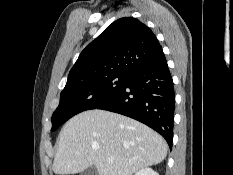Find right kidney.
Masks as SVG:
<instances>
[{"mask_svg":"<svg viewBox=\"0 0 233 175\" xmlns=\"http://www.w3.org/2000/svg\"><path fill=\"white\" fill-rule=\"evenodd\" d=\"M135 175H159L151 168H143L135 173Z\"/></svg>","mask_w":233,"mask_h":175,"instance_id":"ca27d5eb","label":"right kidney"}]
</instances>
